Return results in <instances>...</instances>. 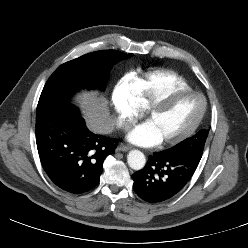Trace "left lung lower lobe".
I'll return each mask as SVG.
<instances>
[{"mask_svg":"<svg viewBox=\"0 0 248 248\" xmlns=\"http://www.w3.org/2000/svg\"><path fill=\"white\" fill-rule=\"evenodd\" d=\"M201 157L199 152H155L145 167L132 175L135 193L149 203L173 198L189 182Z\"/></svg>","mask_w":248,"mask_h":248,"instance_id":"1","label":"left lung lower lobe"}]
</instances>
